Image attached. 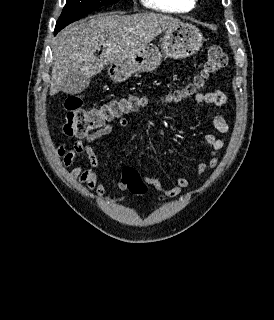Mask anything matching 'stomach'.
I'll return each instance as SVG.
<instances>
[{"mask_svg": "<svg viewBox=\"0 0 274 320\" xmlns=\"http://www.w3.org/2000/svg\"><path fill=\"white\" fill-rule=\"evenodd\" d=\"M203 34L192 24H178L168 28L162 44L147 46L144 50H139L134 58H129L126 62L112 64L109 68V76L114 82H122L123 78H128L130 74H140V72H152L162 64L163 58H173V60H183L190 58L199 52L203 46Z\"/></svg>", "mask_w": 274, "mask_h": 320, "instance_id": "1", "label": "stomach"}]
</instances>
